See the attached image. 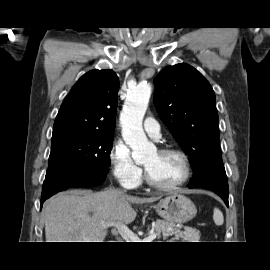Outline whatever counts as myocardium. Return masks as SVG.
Returning a JSON list of instances; mask_svg holds the SVG:
<instances>
[{
    "label": "myocardium",
    "mask_w": 270,
    "mask_h": 270,
    "mask_svg": "<svg viewBox=\"0 0 270 270\" xmlns=\"http://www.w3.org/2000/svg\"><path fill=\"white\" fill-rule=\"evenodd\" d=\"M159 153L162 154H174L176 156H178L182 162L183 165V176L181 177L180 180L176 181L175 183L169 184V185H161L158 184L156 182H154L151 177L149 176L146 168H144V177H145V181L148 184V186H150L151 188L158 190V191H172L175 189H178L180 187H182L184 184H186L188 182V180L191 177V173H192V169H191V164H190V160L187 156V154L179 149V148H175V147H163L160 148L158 150Z\"/></svg>",
    "instance_id": "f54148a6"
}]
</instances>
